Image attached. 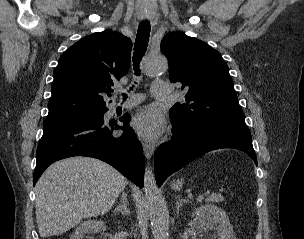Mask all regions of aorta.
<instances>
[{
  "mask_svg": "<svg viewBox=\"0 0 304 239\" xmlns=\"http://www.w3.org/2000/svg\"><path fill=\"white\" fill-rule=\"evenodd\" d=\"M167 69L168 61L163 55H149L143 63V71L148 76L161 75ZM144 192L154 239H169L168 212L162 202V195L149 165L145 167L144 172Z\"/></svg>",
  "mask_w": 304,
  "mask_h": 239,
  "instance_id": "obj_1",
  "label": "aorta"
}]
</instances>
